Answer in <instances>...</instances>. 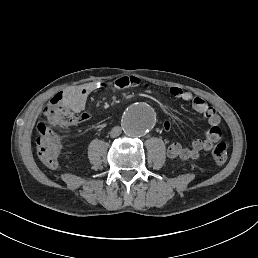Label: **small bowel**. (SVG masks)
<instances>
[{
    "mask_svg": "<svg viewBox=\"0 0 258 258\" xmlns=\"http://www.w3.org/2000/svg\"><path fill=\"white\" fill-rule=\"evenodd\" d=\"M105 86L107 85L99 82H92L79 87L68 88L52 98L51 103L53 109L66 108L75 113H80L86 106L88 96ZM108 86L115 89H125L141 86L147 87V84L143 83L140 78L135 76H121L108 84ZM169 92L177 99L190 102L194 111L202 114L207 119L210 127L204 133L203 138L195 139L190 147H184L177 142L170 144L167 148V155L170 158H179L182 160L197 159L202 151L211 150L213 144L220 140L222 135L220 116L203 98L193 96L189 91L180 87H171ZM83 114L86 118L85 121L90 118L89 114ZM50 120H53V114H51ZM170 127V121L166 120L163 122V128L165 130H169ZM42 162L49 169H55L57 167V164L53 165L45 163L44 161Z\"/></svg>",
    "mask_w": 258,
    "mask_h": 258,
    "instance_id": "1",
    "label": "small bowel"
}]
</instances>
